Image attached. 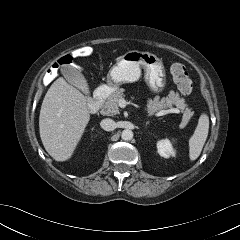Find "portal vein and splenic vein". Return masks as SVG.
<instances>
[{
	"instance_id": "18ae733b",
	"label": "portal vein and splenic vein",
	"mask_w": 240,
	"mask_h": 240,
	"mask_svg": "<svg viewBox=\"0 0 240 240\" xmlns=\"http://www.w3.org/2000/svg\"><path fill=\"white\" fill-rule=\"evenodd\" d=\"M121 103L125 104L126 102L124 100H121ZM168 113H179V110L177 108H172V109H169V110H162L157 115L158 116H163V115L168 114Z\"/></svg>"
}]
</instances>
